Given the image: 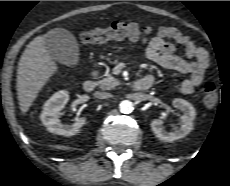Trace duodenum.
Listing matches in <instances>:
<instances>
[{"mask_svg":"<svg viewBox=\"0 0 230 186\" xmlns=\"http://www.w3.org/2000/svg\"><path fill=\"white\" fill-rule=\"evenodd\" d=\"M153 84V79L150 77H143L133 83V88L137 91H143L150 88ZM96 88V82L94 80H87L83 83V89L86 92H92Z\"/></svg>","mask_w":230,"mask_h":186,"instance_id":"1","label":"duodenum"}]
</instances>
